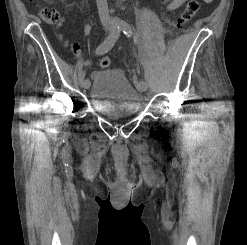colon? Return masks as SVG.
Listing matches in <instances>:
<instances>
[{
	"mask_svg": "<svg viewBox=\"0 0 247 245\" xmlns=\"http://www.w3.org/2000/svg\"><path fill=\"white\" fill-rule=\"evenodd\" d=\"M200 0H187L186 4L181 8L175 17L174 23L176 27L180 28L188 23L192 17L200 10ZM41 17L47 23H55L59 21L60 15L54 8L44 7L41 10ZM101 68H108L111 65L109 57H102L99 61Z\"/></svg>",
	"mask_w": 247,
	"mask_h": 245,
	"instance_id": "5ec220e1",
	"label": "colon"
}]
</instances>
